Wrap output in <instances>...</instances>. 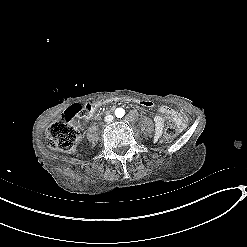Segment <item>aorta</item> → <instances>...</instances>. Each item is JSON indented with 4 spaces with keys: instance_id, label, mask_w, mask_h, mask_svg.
Wrapping results in <instances>:
<instances>
[{
    "instance_id": "aorta-1",
    "label": "aorta",
    "mask_w": 247,
    "mask_h": 247,
    "mask_svg": "<svg viewBox=\"0 0 247 247\" xmlns=\"http://www.w3.org/2000/svg\"><path fill=\"white\" fill-rule=\"evenodd\" d=\"M125 115V110L123 108H117L115 110V116L118 118H122Z\"/></svg>"
}]
</instances>
